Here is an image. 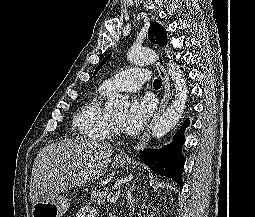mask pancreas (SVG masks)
<instances>
[{"instance_id": "cf45deb5", "label": "pancreas", "mask_w": 255, "mask_h": 217, "mask_svg": "<svg viewBox=\"0 0 255 217\" xmlns=\"http://www.w3.org/2000/svg\"><path fill=\"white\" fill-rule=\"evenodd\" d=\"M108 197L109 194L107 193L106 188L98 189L97 191L92 192L90 196V201L97 205H102L105 204Z\"/></svg>"}]
</instances>
